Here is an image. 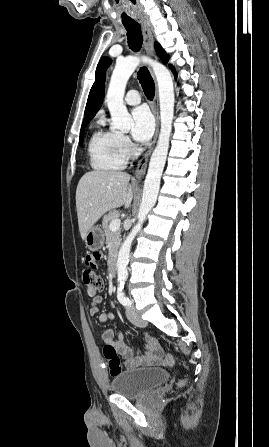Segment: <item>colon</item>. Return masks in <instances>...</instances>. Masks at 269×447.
Instances as JSON below:
<instances>
[{"label":"colon","instance_id":"1","mask_svg":"<svg viewBox=\"0 0 269 447\" xmlns=\"http://www.w3.org/2000/svg\"><path fill=\"white\" fill-rule=\"evenodd\" d=\"M101 258L102 254L98 250L86 253L85 255L86 262L82 270V280L86 287V295L90 298L95 297L97 292L103 288V279L96 272L103 270V263L100 262ZM103 354L108 362V373L112 377L121 375L123 367L117 350L111 345H105ZM127 355L130 356L131 352L128 351ZM159 362H161L163 366H171L174 364V357L171 355L164 356L159 359ZM177 385L179 387H186L188 385V380L186 378H179L177 380Z\"/></svg>","mask_w":269,"mask_h":447}]
</instances>
